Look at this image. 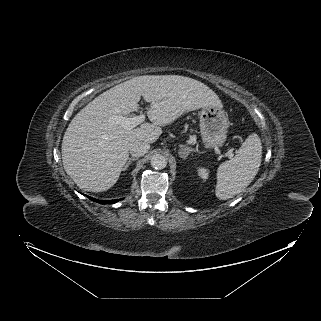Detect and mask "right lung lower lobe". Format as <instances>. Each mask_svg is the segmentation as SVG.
Segmentation results:
<instances>
[{
	"instance_id": "right-lung-lower-lobe-1",
	"label": "right lung lower lobe",
	"mask_w": 321,
	"mask_h": 321,
	"mask_svg": "<svg viewBox=\"0 0 321 321\" xmlns=\"http://www.w3.org/2000/svg\"><path fill=\"white\" fill-rule=\"evenodd\" d=\"M90 200L94 201V202H97V203H100V204H113V203H116L118 202L120 199H116V200H98V199H95V198H92V197H89L87 196Z\"/></svg>"
}]
</instances>
